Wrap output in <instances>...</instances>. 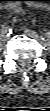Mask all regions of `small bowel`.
<instances>
[{
	"label": "small bowel",
	"mask_w": 50,
	"mask_h": 111,
	"mask_svg": "<svg viewBox=\"0 0 50 111\" xmlns=\"http://www.w3.org/2000/svg\"><path fill=\"white\" fill-rule=\"evenodd\" d=\"M12 12L15 13V14H21L24 12L23 8L21 7H15L12 9Z\"/></svg>",
	"instance_id": "1"
}]
</instances>
